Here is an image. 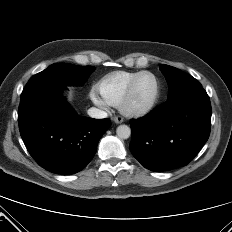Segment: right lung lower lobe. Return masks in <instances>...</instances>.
<instances>
[{"label":"right lung lower lobe","instance_id":"obj_1","mask_svg":"<svg viewBox=\"0 0 232 232\" xmlns=\"http://www.w3.org/2000/svg\"><path fill=\"white\" fill-rule=\"evenodd\" d=\"M65 86L44 87L21 96V137L34 160L57 174L81 171L94 157L109 119L78 116L62 97Z\"/></svg>","mask_w":232,"mask_h":232}]
</instances>
